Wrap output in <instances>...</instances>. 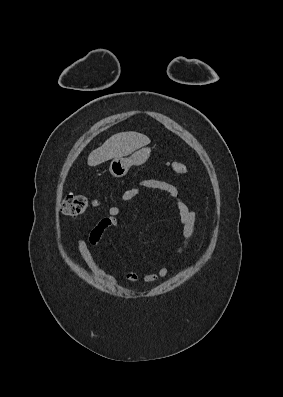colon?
<instances>
[{
  "instance_id": "5ec220e1",
  "label": "colon",
  "mask_w": 283,
  "mask_h": 397,
  "mask_svg": "<svg viewBox=\"0 0 283 397\" xmlns=\"http://www.w3.org/2000/svg\"><path fill=\"white\" fill-rule=\"evenodd\" d=\"M172 171L177 175H183L187 173V166L181 162L170 163ZM89 206L88 198L83 194L70 193L68 194L61 205V210L64 215L67 216H78L82 214Z\"/></svg>"
}]
</instances>
